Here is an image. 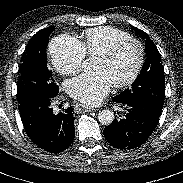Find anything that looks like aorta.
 Segmentation results:
<instances>
[{"instance_id": "1", "label": "aorta", "mask_w": 183, "mask_h": 183, "mask_svg": "<svg viewBox=\"0 0 183 183\" xmlns=\"http://www.w3.org/2000/svg\"><path fill=\"white\" fill-rule=\"evenodd\" d=\"M99 122L103 125H110L114 120V113L111 110L104 109L98 114Z\"/></svg>"}]
</instances>
